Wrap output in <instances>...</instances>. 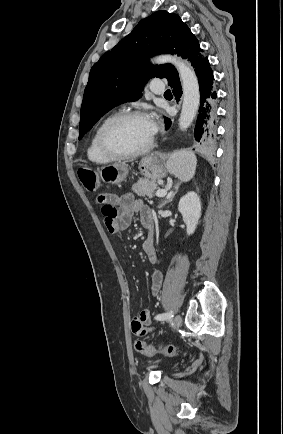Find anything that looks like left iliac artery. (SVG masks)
<instances>
[{
	"label": "left iliac artery",
	"mask_w": 283,
	"mask_h": 434,
	"mask_svg": "<svg viewBox=\"0 0 283 434\" xmlns=\"http://www.w3.org/2000/svg\"><path fill=\"white\" fill-rule=\"evenodd\" d=\"M173 317V311H169L167 313L158 314L155 319L156 320H167L169 318Z\"/></svg>",
	"instance_id": "1"
}]
</instances>
